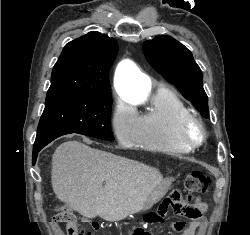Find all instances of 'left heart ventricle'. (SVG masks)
I'll use <instances>...</instances> for the list:
<instances>
[{
	"mask_svg": "<svg viewBox=\"0 0 250 235\" xmlns=\"http://www.w3.org/2000/svg\"><path fill=\"white\" fill-rule=\"evenodd\" d=\"M191 135L194 139H196L199 136V130L196 127H193L191 129Z\"/></svg>",
	"mask_w": 250,
	"mask_h": 235,
	"instance_id": "b2bd125f",
	"label": "left heart ventricle"
}]
</instances>
